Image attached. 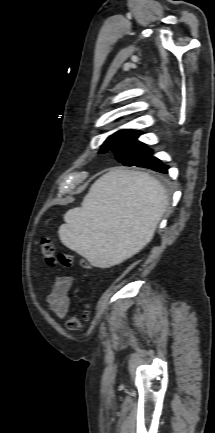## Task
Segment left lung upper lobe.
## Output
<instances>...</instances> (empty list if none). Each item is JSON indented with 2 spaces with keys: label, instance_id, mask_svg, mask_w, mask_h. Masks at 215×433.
Returning a JSON list of instances; mask_svg holds the SVG:
<instances>
[{
  "label": "left lung upper lobe",
  "instance_id": "left-lung-upper-lobe-1",
  "mask_svg": "<svg viewBox=\"0 0 215 433\" xmlns=\"http://www.w3.org/2000/svg\"><path fill=\"white\" fill-rule=\"evenodd\" d=\"M138 136L139 133L134 130H120L107 138L100 153L111 150L116 160L125 166L136 163L152 170L157 169L161 166V161L152 156L153 151L146 144L137 140Z\"/></svg>",
  "mask_w": 215,
  "mask_h": 433
}]
</instances>
